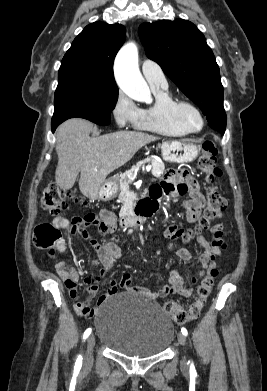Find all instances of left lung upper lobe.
<instances>
[{
    "label": "left lung upper lobe",
    "mask_w": 267,
    "mask_h": 391,
    "mask_svg": "<svg viewBox=\"0 0 267 391\" xmlns=\"http://www.w3.org/2000/svg\"><path fill=\"white\" fill-rule=\"evenodd\" d=\"M139 36L146 55L202 110L211 128H226L219 67L202 32L183 19L143 23Z\"/></svg>",
    "instance_id": "left-lung-upper-lobe-1"
}]
</instances>
